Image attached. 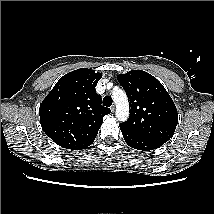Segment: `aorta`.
<instances>
[{"mask_svg":"<svg viewBox=\"0 0 214 214\" xmlns=\"http://www.w3.org/2000/svg\"><path fill=\"white\" fill-rule=\"evenodd\" d=\"M112 99L116 104V117L119 121L124 122L129 117V103L126 93L122 89L113 91Z\"/></svg>","mask_w":214,"mask_h":214,"instance_id":"762f6f07","label":"aorta"}]
</instances>
